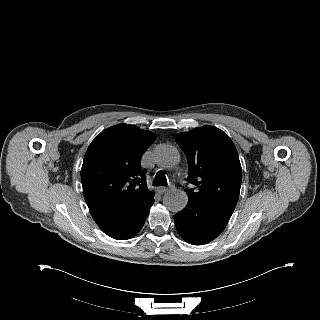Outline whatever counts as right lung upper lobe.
Segmentation results:
<instances>
[{
  "instance_id": "1",
  "label": "right lung upper lobe",
  "mask_w": 320,
  "mask_h": 320,
  "mask_svg": "<svg viewBox=\"0 0 320 320\" xmlns=\"http://www.w3.org/2000/svg\"><path fill=\"white\" fill-rule=\"evenodd\" d=\"M155 138L153 132L119 124L92 141L84 157L81 181L97 224L138 210L154 199L140 160Z\"/></svg>"
}]
</instances>
